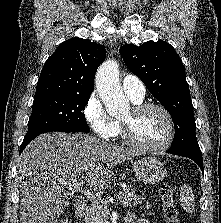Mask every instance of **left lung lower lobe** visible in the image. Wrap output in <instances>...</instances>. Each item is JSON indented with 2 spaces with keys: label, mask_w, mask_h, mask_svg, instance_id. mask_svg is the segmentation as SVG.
<instances>
[{
  "label": "left lung lower lobe",
  "mask_w": 221,
  "mask_h": 223,
  "mask_svg": "<svg viewBox=\"0 0 221 223\" xmlns=\"http://www.w3.org/2000/svg\"><path fill=\"white\" fill-rule=\"evenodd\" d=\"M167 152L170 154L185 156L192 159L204 172L201 150H197V149L170 150L169 149Z\"/></svg>",
  "instance_id": "obj_1"
}]
</instances>
